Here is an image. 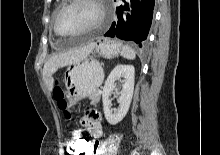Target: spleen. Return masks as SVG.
Returning <instances> with one entry per match:
<instances>
[{
  "instance_id": "spleen-1",
  "label": "spleen",
  "mask_w": 220,
  "mask_h": 155,
  "mask_svg": "<svg viewBox=\"0 0 220 155\" xmlns=\"http://www.w3.org/2000/svg\"><path fill=\"white\" fill-rule=\"evenodd\" d=\"M121 56L123 58L129 59V60H133L135 59V52L134 50L128 46V45H123L122 49H121Z\"/></svg>"
}]
</instances>
